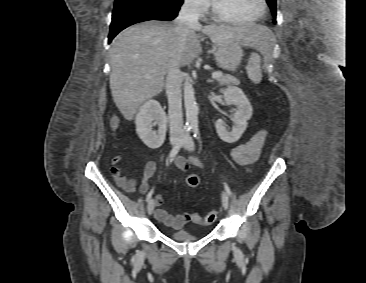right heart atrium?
<instances>
[{"label":"right heart atrium","instance_id":"1","mask_svg":"<svg viewBox=\"0 0 366 283\" xmlns=\"http://www.w3.org/2000/svg\"><path fill=\"white\" fill-rule=\"evenodd\" d=\"M185 8L196 16L204 15L209 6L208 0H184Z\"/></svg>","mask_w":366,"mask_h":283}]
</instances>
